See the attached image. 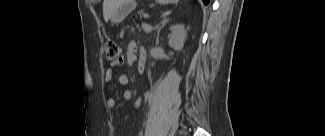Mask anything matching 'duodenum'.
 <instances>
[{"label":"duodenum","mask_w":325,"mask_h":136,"mask_svg":"<svg viewBox=\"0 0 325 136\" xmlns=\"http://www.w3.org/2000/svg\"><path fill=\"white\" fill-rule=\"evenodd\" d=\"M147 58H148V50L145 47L140 48L138 54V63H137V69L139 72L145 71L147 65Z\"/></svg>","instance_id":"obj_1"}]
</instances>
